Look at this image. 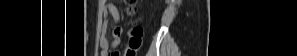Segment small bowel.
Wrapping results in <instances>:
<instances>
[{
    "instance_id": "obj_1",
    "label": "small bowel",
    "mask_w": 297,
    "mask_h": 56,
    "mask_svg": "<svg viewBox=\"0 0 297 56\" xmlns=\"http://www.w3.org/2000/svg\"><path fill=\"white\" fill-rule=\"evenodd\" d=\"M106 13L110 14L113 17L115 22L120 21V14L114 3L108 2L106 4ZM107 30H108V22L105 21L103 23L102 36L100 38L101 55L116 56V52H114V49L121 43L123 33H124L123 29L119 26L114 29L113 31L114 38L111 43L106 37Z\"/></svg>"
}]
</instances>
